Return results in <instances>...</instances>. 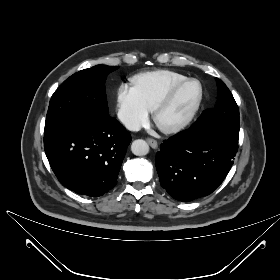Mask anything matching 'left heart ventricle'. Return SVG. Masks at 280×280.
<instances>
[{
    "mask_svg": "<svg viewBox=\"0 0 280 280\" xmlns=\"http://www.w3.org/2000/svg\"><path fill=\"white\" fill-rule=\"evenodd\" d=\"M199 87L195 83L183 86L177 91L170 104L157 117L159 127L172 126L184 119L195 104Z\"/></svg>",
    "mask_w": 280,
    "mask_h": 280,
    "instance_id": "1",
    "label": "left heart ventricle"
}]
</instances>
